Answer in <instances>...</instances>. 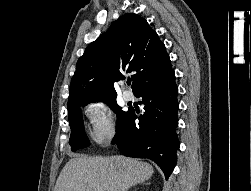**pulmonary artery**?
Listing matches in <instances>:
<instances>
[{"label":"pulmonary artery","instance_id":"obj_1","mask_svg":"<svg viewBox=\"0 0 251 191\" xmlns=\"http://www.w3.org/2000/svg\"><path fill=\"white\" fill-rule=\"evenodd\" d=\"M121 84H124V81H121ZM123 97L127 101H131L134 99V95L130 90H124L123 91Z\"/></svg>","mask_w":251,"mask_h":191}]
</instances>
